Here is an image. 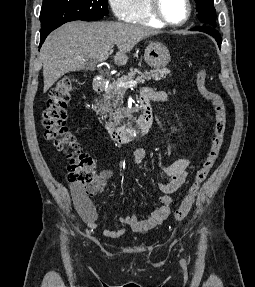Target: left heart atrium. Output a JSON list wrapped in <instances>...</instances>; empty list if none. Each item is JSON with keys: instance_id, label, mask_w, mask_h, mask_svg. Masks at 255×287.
Instances as JSON below:
<instances>
[{"instance_id": "39dd6f15", "label": "left heart atrium", "mask_w": 255, "mask_h": 287, "mask_svg": "<svg viewBox=\"0 0 255 287\" xmlns=\"http://www.w3.org/2000/svg\"><path fill=\"white\" fill-rule=\"evenodd\" d=\"M113 33H127V32H113ZM112 39H133V38H112ZM115 48H134V47H115Z\"/></svg>"}]
</instances>
